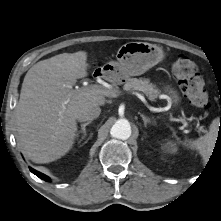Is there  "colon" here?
I'll return each instance as SVG.
<instances>
[{
  "label": "colon",
  "mask_w": 221,
  "mask_h": 221,
  "mask_svg": "<svg viewBox=\"0 0 221 221\" xmlns=\"http://www.w3.org/2000/svg\"><path fill=\"white\" fill-rule=\"evenodd\" d=\"M173 73L192 105L207 108L208 94L196 64L189 57L180 55L173 64Z\"/></svg>",
  "instance_id": "1"
}]
</instances>
